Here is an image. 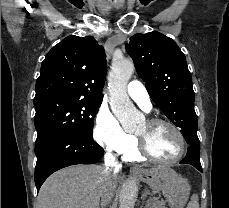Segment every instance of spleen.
I'll list each match as a JSON object with an SVG mask.
<instances>
[{
  "mask_svg": "<svg viewBox=\"0 0 229 208\" xmlns=\"http://www.w3.org/2000/svg\"><path fill=\"white\" fill-rule=\"evenodd\" d=\"M188 208H199L198 196H192V202H190Z\"/></svg>",
  "mask_w": 229,
  "mask_h": 208,
  "instance_id": "3e777b00",
  "label": "spleen"
}]
</instances>
